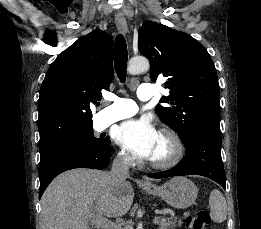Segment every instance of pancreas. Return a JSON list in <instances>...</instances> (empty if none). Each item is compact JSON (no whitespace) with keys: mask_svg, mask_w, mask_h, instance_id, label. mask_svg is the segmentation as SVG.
<instances>
[{"mask_svg":"<svg viewBox=\"0 0 261 229\" xmlns=\"http://www.w3.org/2000/svg\"><path fill=\"white\" fill-rule=\"evenodd\" d=\"M188 217V215H185ZM158 219L159 229H175V227H181L183 221H177V219H161V217H156Z\"/></svg>","mask_w":261,"mask_h":229,"instance_id":"pancreas-1","label":"pancreas"}]
</instances>
